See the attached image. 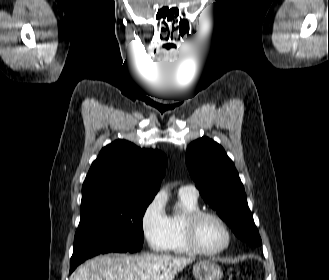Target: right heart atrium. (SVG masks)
<instances>
[{"label":"right heart atrium","instance_id":"1","mask_svg":"<svg viewBox=\"0 0 329 280\" xmlns=\"http://www.w3.org/2000/svg\"><path fill=\"white\" fill-rule=\"evenodd\" d=\"M140 227L143 237L151 249L164 250L168 237V216L161 194L155 195L146 204L140 217Z\"/></svg>","mask_w":329,"mask_h":280}]
</instances>
